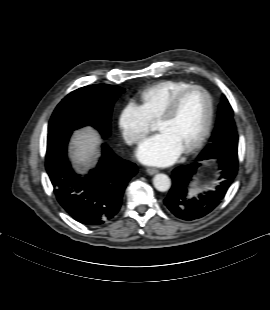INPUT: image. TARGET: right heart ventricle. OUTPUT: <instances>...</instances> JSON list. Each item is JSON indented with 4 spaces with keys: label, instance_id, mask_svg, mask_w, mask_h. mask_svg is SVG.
Returning a JSON list of instances; mask_svg holds the SVG:
<instances>
[{
    "label": "right heart ventricle",
    "instance_id": "e07e8e85",
    "mask_svg": "<svg viewBox=\"0 0 270 310\" xmlns=\"http://www.w3.org/2000/svg\"><path fill=\"white\" fill-rule=\"evenodd\" d=\"M189 85L184 81L165 80L145 88L140 100L150 120H156L171 98Z\"/></svg>",
    "mask_w": 270,
    "mask_h": 310
}]
</instances>
